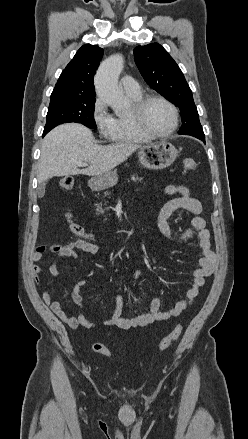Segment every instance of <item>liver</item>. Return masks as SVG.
I'll return each instance as SVG.
<instances>
[{"instance_id":"obj_1","label":"liver","mask_w":248,"mask_h":439,"mask_svg":"<svg viewBox=\"0 0 248 439\" xmlns=\"http://www.w3.org/2000/svg\"><path fill=\"white\" fill-rule=\"evenodd\" d=\"M140 147L129 142L98 145L89 128L78 123L63 124L43 139L37 179L43 183L54 176H99L126 161ZM78 162L89 163L90 166L81 170Z\"/></svg>"}]
</instances>
